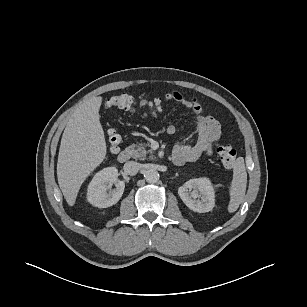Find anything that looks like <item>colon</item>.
<instances>
[{
    "label": "colon",
    "instance_id": "obj_1",
    "mask_svg": "<svg viewBox=\"0 0 307 307\" xmlns=\"http://www.w3.org/2000/svg\"><path fill=\"white\" fill-rule=\"evenodd\" d=\"M164 101V99L156 98L150 101L142 100L138 102L133 96L124 92L107 99L105 107L119 108L131 113L141 110L156 113L162 109ZM107 136L110 144V151H118L121 143L120 134L116 129L110 128L107 131ZM217 153L225 168L229 169L233 167L236 159V151L230 144L222 143L217 145Z\"/></svg>",
    "mask_w": 307,
    "mask_h": 307
}]
</instances>
